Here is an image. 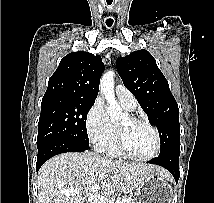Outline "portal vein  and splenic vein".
Segmentation results:
<instances>
[{"instance_id": "1", "label": "portal vein and splenic vein", "mask_w": 214, "mask_h": 203, "mask_svg": "<svg viewBox=\"0 0 214 203\" xmlns=\"http://www.w3.org/2000/svg\"><path fill=\"white\" fill-rule=\"evenodd\" d=\"M100 187H101L100 185H94L88 189L90 192L88 201L91 203H113V201L109 200L104 196H101L99 194H93L97 192L100 189ZM62 193L66 195L68 194L76 195V194H80V191L76 189H66V190H63ZM122 203H126V200H122Z\"/></svg>"}]
</instances>
